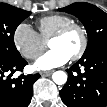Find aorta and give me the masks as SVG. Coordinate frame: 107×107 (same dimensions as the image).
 Instances as JSON below:
<instances>
[{"label": "aorta", "instance_id": "762f6f07", "mask_svg": "<svg viewBox=\"0 0 107 107\" xmlns=\"http://www.w3.org/2000/svg\"><path fill=\"white\" fill-rule=\"evenodd\" d=\"M52 79L57 85H63L67 82V74L64 71H56L53 73Z\"/></svg>", "mask_w": 107, "mask_h": 107}]
</instances>
